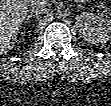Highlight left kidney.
Masks as SVG:
<instances>
[{"label":"left kidney","mask_w":111,"mask_h":106,"mask_svg":"<svg viewBox=\"0 0 111 106\" xmlns=\"http://www.w3.org/2000/svg\"><path fill=\"white\" fill-rule=\"evenodd\" d=\"M76 27L81 37L91 43L107 42L111 37V20L103 13L82 12L76 16Z\"/></svg>","instance_id":"obj_1"}]
</instances>
